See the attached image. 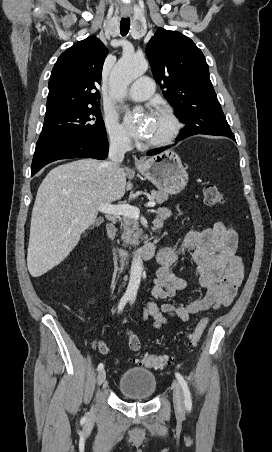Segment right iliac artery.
Here are the masks:
<instances>
[{"label": "right iliac artery", "instance_id": "82829eb1", "mask_svg": "<svg viewBox=\"0 0 272 452\" xmlns=\"http://www.w3.org/2000/svg\"><path fill=\"white\" fill-rule=\"evenodd\" d=\"M128 300H129V297H128V296H123V297L121 298L120 303H119V305H118L119 312L124 308V306L126 305V303H127ZM103 368H104V365H103L102 363H100V364L98 365V367H97V370H98V371H101Z\"/></svg>", "mask_w": 272, "mask_h": 452}]
</instances>
